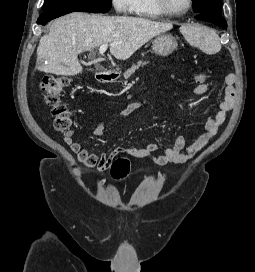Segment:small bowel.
Here are the masks:
<instances>
[{
  "mask_svg": "<svg viewBox=\"0 0 255 272\" xmlns=\"http://www.w3.org/2000/svg\"><path fill=\"white\" fill-rule=\"evenodd\" d=\"M235 75L228 74L224 79V90L222 100L218 103L217 112L210 116L204 123L203 132L190 145L186 146L182 137H177L171 147H167L159 151L157 143H148L140 147H125L120 146L110 153H96L90 152L82 146L80 142L72 141L70 137H65V142L70 146L71 151L77 156L80 163L88 168L97 167L99 170L106 169L113 159L120 155L126 154L135 158L149 159L152 162L165 165L169 163H184L192 159L200 153L217 134L219 127L224 123L226 115L231 111L235 100ZM209 90V84H197L193 89V94L196 96L204 95ZM174 94V97H178ZM139 109H145L151 119H156L158 113L153 108L144 105L143 103H133L125 109L115 113L117 117H128ZM109 125L108 120H101L97 123L93 130L95 136L101 137L105 134Z\"/></svg>",
  "mask_w": 255,
  "mask_h": 272,
  "instance_id": "c3829d8e",
  "label": "small bowel"
}]
</instances>
